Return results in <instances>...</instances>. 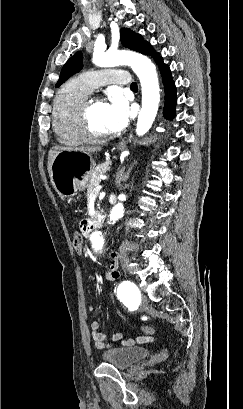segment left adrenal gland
<instances>
[{
    "mask_svg": "<svg viewBox=\"0 0 243 409\" xmlns=\"http://www.w3.org/2000/svg\"><path fill=\"white\" fill-rule=\"evenodd\" d=\"M136 163L137 162L134 161V163L132 164V166L130 167V169L128 170L127 173H124L125 167L121 168V170L119 171V174L117 175V178H116V183H117L118 187L121 186V181H125V180L128 179L129 173H130L131 169L134 167V165Z\"/></svg>",
    "mask_w": 243,
    "mask_h": 409,
    "instance_id": "obj_1",
    "label": "left adrenal gland"
}]
</instances>
